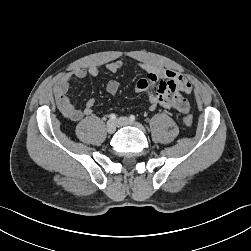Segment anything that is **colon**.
Masks as SVG:
<instances>
[{"instance_id": "5ec220e1", "label": "colon", "mask_w": 251, "mask_h": 251, "mask_svg": "<svg viewBox=\"0 0 251 251\" xmlns=\"http://www.w3.org/2000/svg\"><path fill=\"white\" fill-rule=\"evenodd\" d=\"M183 122L186 126H191L193 124V118L191 115H185L183 117Z\"/></svg>"}]
</instances>
